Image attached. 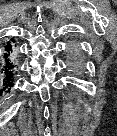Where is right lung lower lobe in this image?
Here are the masks:
<instances>
[{"mask_svg": "<svg viewBox=\"0 0 117 136\" xmlns=\"http://www.w3.org/2000/svg\"><path fill=\"white\" fill-rule=\"evenodd\" d=\"M14 39L6 41L3 45V55L0 57V96L4 97L10 92L17 77L18 62Z\"/></svg>", "mask_w": 117, "mask_h": 136, "instance_id": "98d812e1", "label": "right lung lower lobe"}]
</instances>
